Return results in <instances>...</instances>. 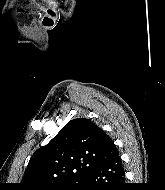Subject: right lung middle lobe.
<instances>
[{
	"label": "right lung middle lobe",
	"mask_w": 165,
	"mask_h": 190,
	"mask_svg": "<svg viewBox=\"0 0 165 190\" xmlns=\"http://www.w3.org/2000/svg\"><path fill=\"white\" fill-rule=\"evenodd\" d=\"M80 186H81V181H79L78 184L73 183V184L67 185L65 187L56 188L54 190H79Z\"/></svg>",
	"instance_id": "right-lung-middle-lobe-1"
}]
</instances>
